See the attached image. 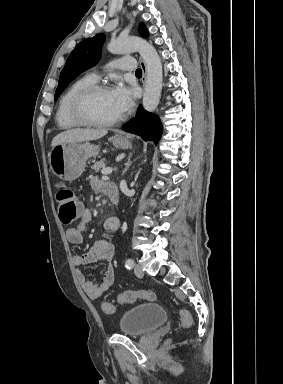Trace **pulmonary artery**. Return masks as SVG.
I'll return each instance as SVG.
<instances>
[{
  "label": "pulmonary artery",
  "instance_id": "obj_1",
  "mask_svg": "<svg viewBox=\"0 0 283 384\" xmlns=\"http://www.w3.org/2000/svg\"><path fill=\"white\" fill-rule=\"evenodd\" d=\"M109 65L111 66V68L113 70L116 68L112 62ZM117 67L119 68L120 71H134L135 70V63H134V61H118ZM87 76L90 80H92L94 82H96L99 79L98 73H90Z\"/></svg>",
  "mask_w": 283,
  "mask_h": 384
}]
</instances>
